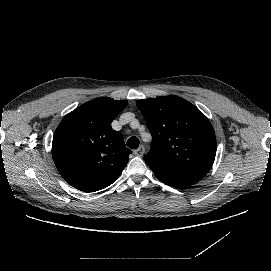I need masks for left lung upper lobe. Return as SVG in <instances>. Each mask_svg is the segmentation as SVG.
I'll return each instance as SVG.
<instances>
[{"instance_id": "obj_1", "label": "left lung upper lobe", "mask_w": 271, "mask_h": 271, "mask_svg": "<svg viewBox=\"0 0 271 271\" xmlns=\"http://www.w3.org/2000/svg\"><path fill=\"white\" fill-rule=\"evenodd\" d=\"M137 106L152 134L151 150L145 157L210 170L216 155V137L211 123L199 109L178 96L139 100Z\"/></svg>"}]
</instances>
